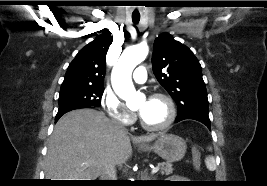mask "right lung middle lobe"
Segmentation results:
<instances>
[{"label": "right lung middle lobe", "mask_w": 267, "mask_h": 186, "mask_svg": "<svg viewBox=\"0 0 267 186\" xmlns=\"http://www.w3.org/2000/svg\"><path fill=\"white\" fill-rule=\"evenodd\" d=\"M103 86H62L59 94V110L78 107H97L101 104Z\"/></svg>", "instance_id": "right-lung-middle-lobe-1"}]
</instances>
